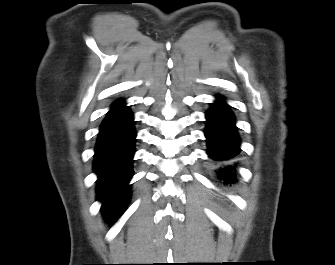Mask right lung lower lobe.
Segmentation results:
<instances>
[{
    "label": "right lung lower lobe",
    "instance_id": "1",
    "mask_svg": "<svg viewBox=\"0 0 335 265\" xmlns=\"http://www.w3.org/2000/svg\"><path fill=\"white\" fill-rule=\"evenodd\" d=\"M135 137L133 115L123 100H117L101 124L94 159L98 199L111 221L129 201Z\"/></svg>",
    "mask_w": 335,
    "mask_h": 265
}]
</instances>
